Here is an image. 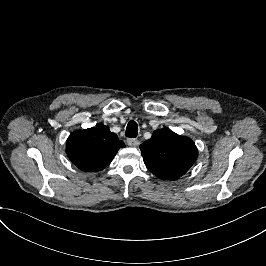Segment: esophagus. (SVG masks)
<instances>
[{
    "mask_svg": "<svg viewBox=\"0 0 266 266\" xmlns=\"http://www.w3.org/2000/svg\"><path fill=\"white\" fill-rule=\"evenodd\" d=\"M127 144L129 146H137L139 144V140L135 138H128L127 139Z\"/></svg>",
    "mask_w": 266,
    "mask_h": 266,
    "instance_id": "34e87169",
    "label": "esophagus"
}]
</instances>
